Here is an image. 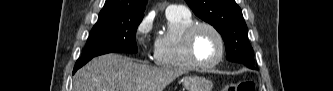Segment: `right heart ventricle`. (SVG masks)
<instances>
[{"instance_id":"1","label":"right heart ventricle","mask_w":333,"mask_h":91,"mask_svg":"<svg viewBox=\"0 0 333 91\" xmlns=\"http://www.w3.org/2000/svg\"><path fill=\"white\" fill-rule=\"evenodd\" d=\"M193 24L190 13H167V31L159 35L154 44V61L158 66L181 71L194 69L186 57L184 47L185 32Z\"/></svg>"}]
</instances>
